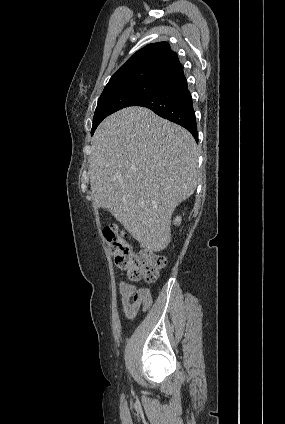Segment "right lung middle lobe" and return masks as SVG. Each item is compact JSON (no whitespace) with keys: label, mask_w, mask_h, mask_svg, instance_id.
I'll use <instances>...</instances> for the list:
<instances>
[{"label":"right lung middle lobe","mask_w":285,"mask_h":424,"mask_svg":"<svg viewBox=\"0 0 285 424\" xmlns=\"http://www.w3.org/2000/svg\"><path fill=\"white\" fill-rule=\"evenodd\" d=\"M162 85L161 82L142 81L103 90L94 113L91 134L108 115L128 107L134 101L155 92Z\"/></svg>","instance_id":"1"}]
</instances>
